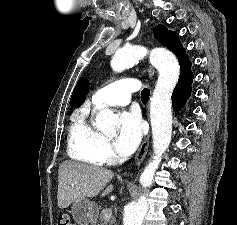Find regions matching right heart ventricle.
Instances as JSON below:
<instances>
[{
    "instance_id": "right-heart-ventricle-1",
    "label": "right heart ventricle",
    "mask_w": 237,
    "mask_h": 225,
    "mask_svg": "<svg viewBox=\"0 0 237 225\" xmlns=\"http://www.w3.org/2000/svg\"><path fill=\"white\" fill-rule=\"evenodd\" d=\"M88 115L86 108L74 115L69 130L68 151L75 160L101 165L103 160L99 155L98 146L103 137L89 122Z\"/></svg>"
}]
</instances>
